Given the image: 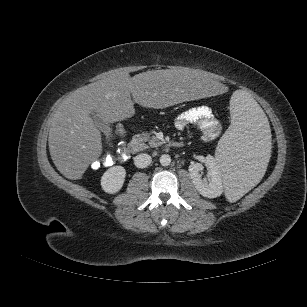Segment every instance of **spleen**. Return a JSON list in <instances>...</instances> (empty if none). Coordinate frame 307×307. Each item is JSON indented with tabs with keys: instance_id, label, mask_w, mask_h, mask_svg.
<instances>
[{
	"instance_id": "3e777b00",
	"label": "spleen",
	"mask_w": 307,
	"mask_h": 307,
	"mask_svg": "<svg viewBox=\"0 0 307 307\" xmlns=\"http://www.w3.org/2000/svg\"><path fill=\"white\" fill-rule=\"evenodd\" d=\"M231 125L216 148L225 197L236 202L269 169L271 140L267 117L245 91L237 90L230 100Z\"/></svg>"
}]
</instances>
